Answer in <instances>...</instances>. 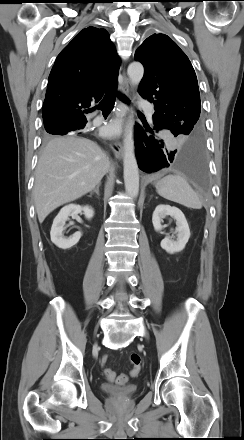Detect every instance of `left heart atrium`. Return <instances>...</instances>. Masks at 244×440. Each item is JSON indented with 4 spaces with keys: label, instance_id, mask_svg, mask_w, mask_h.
Wrapping results in <instances>:
<instances>
[{
    "label": "left heart atrium",
    "instance_id": "left-heart-atrium-1",
    "mask_svg": "<svg viewBox=\"0 0 244 440\" xmlns=\"http://www.w3.org/2000/svg\"><path fill=\"white\" fill-rule=\"evenodd\" d=\"M102 134L106 137L113 138L120 134L121 132V123L117 120L112 121L106 124L102 130Z\"/></svg>",
    "mask_w": 244,
    "mask_h": 440
}]
</instances>
